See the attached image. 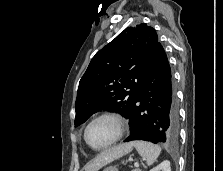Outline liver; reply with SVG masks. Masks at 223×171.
<instances>
[{
    "label": "liver",
    "mask_w": 223,
    "mask_h": 171,
    "mask_svg": "<svg viewBox=\"0 0 223 171\" xmlns=\"http://www.w3.org/2000/svg\"><path fill=\"white\" fill-rule=\"evenodd\" d=\"M132 147V143H125L101 152L95 159L86 164L85 171H98L104 165L131 152Z\"/></svg>",
    "instance_id": "obj_1"
}]
</instances>
